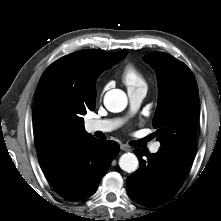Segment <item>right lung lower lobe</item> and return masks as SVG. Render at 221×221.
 Masks as SVG:
<instances>
[{"instance_id":"right-lung-lower-lobe-1","label":"right lung lower lobe","mask_w":221,"mask_h":221,"mask_svg":"<svg viewBox=\"0 0 221 221\" xmlns=\"http://www.w3.org/2000/svg\"><path fill=\"white\" fill-rule=\"evenodd\" d=\"M118 152L117 142L100 141L88 135L38 154L55 191L66 200L80 201L95 193Z\"/></svg>"}]
</instances>
